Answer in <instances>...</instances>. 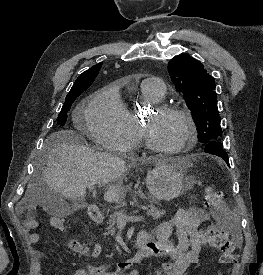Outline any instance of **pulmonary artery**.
<instances>
[{
    "mask_svg": "<svg viewBox=\"0 0 263 275\" xmlns=\"http://www.w3.org/2000/svg\"><path fill=\"white\" fill-rule=\"evenodd\" d=\"M143 86L149 89L157 100H161L165 94V86L162 79L158 77L147 78Z\"/></svg>",
    "mask_w": 263,
    "mask_h": 275,
    "instance_id": "e3ab8cb5",
    "label": "pulmonary artery"
}]
</instances>
